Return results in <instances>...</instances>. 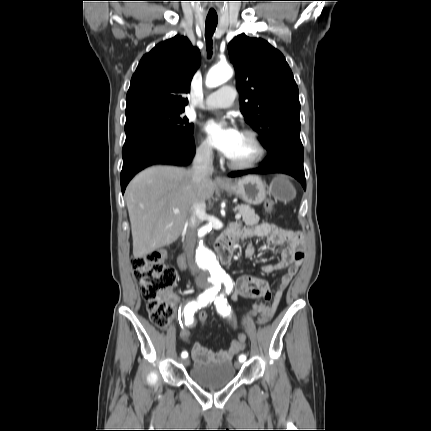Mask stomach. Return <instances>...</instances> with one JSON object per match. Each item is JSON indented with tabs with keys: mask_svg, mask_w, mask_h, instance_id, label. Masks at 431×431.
Wrapping results in <instances>:
<instances>
[{
	"mask_svg": "<svg viewBox=\"0 0 431 431\" xmlns=\"http://www.w3.org/2000/svg\"><path fill=\"white\" fill-rule=\"evenodd\" d=\"M229 194L240 197L249 205H259L267 195L266 186L258 176H246L242 179L231 181L228 185L221 186ZM271 194L279 200H290L295 196V190L291 184L283 178H276L271 184Z\"/></svg>",
	"mask_w": 431,
	"mask_h": 431,
	"instance_id": "1",
	"label": "stomach"
}]
</instances>
